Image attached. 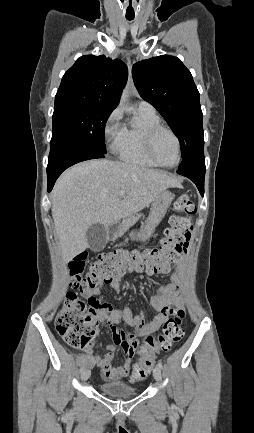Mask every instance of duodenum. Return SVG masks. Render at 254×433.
Instances as JSON below:
<instances>
[{
  "label": "duodenum",
  "instance_id": "1",
  "mask_svg": "<svg viewBox=\"0 0 254 433\" xmlns=\"http://www.w3.org/2000/svg\"><path fill=\"white\" fill-rule=\"evenodd\" d=\"M117 230H118L117 224H111L107 228V236H108V238H112L115 235V233L117 232Z\"/></svg>",
  "mask_w": 254,
  "mask_h": 433
}]
</instances>
